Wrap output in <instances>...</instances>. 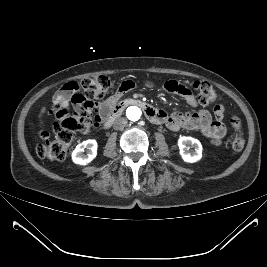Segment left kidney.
Here are the masks:
<instances>
[{"mask_svg":"<svg viewBox=\"0 0 267 267\" xmlns=\"http://www.w3.org/2000/svg\"><path fill=\"white\" fill-rule=\"evenodd\" d=\"M178 146L185 162L194 163L202 158V145L199 140L183 136L178 139ZM190 147L194 148L193 152L190 151Z\"/></svg>","mask_w":267,"mask_h":267,"instance_id":"1","label":"left kidney"}]
</instances>
